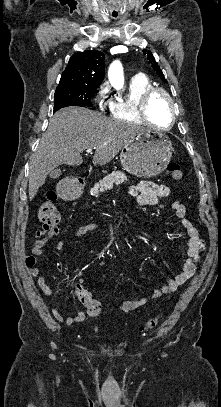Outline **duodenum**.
Here are the masks:
<instances>
[{
    "label": "duodenum",
    "instance_id": "410a0bca",
    "mask_svg": "<svg viewBox=\"0 0 221 407\" xmlns=\"http://www.w3.org/2000/svg\"><path fill=\"white\" fill-rule=\"evenodd\" d=\"M60 193H61V196H62L64 199H70L71 196H72V193H73V188L70 187V186H68V187H63V188L60 189Z\"/></svg>",
    "mask_w": 221,
    "mask_h": 407
}]
</instances>
